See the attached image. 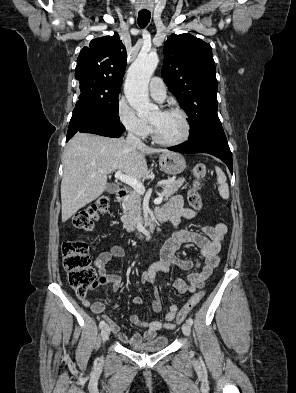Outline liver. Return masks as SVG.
Wrapping results in <instances>:
<instances>
[{"label": "liver", "mask_w": 296, "mask_h": 393, "mask_svg": "<svg viewBox=\"0 0 296 393\" xmlns=\"http://www.w3.org/2000/svg\"><path fill=\"white\" fill-rule=\"evenodd\" d=\"M169 152L131 146L125 139L77 133L64 152L61 182L62 221L97 199L107 188V175L120 170L134 179L148 174L146 155Z\"/></svg>", "instance_id": "liver-1"}]
</instances>
